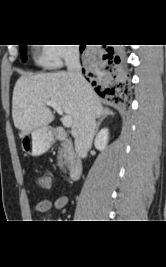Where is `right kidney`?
<instances>
[{
  "label": "right kidney",
  "mask_w": 166,
  "mask_h": 267,
  "mask_svg": "<svg viewBox=\"0 0 166 267\" xmlns=\"http://www.w3.org/2000/svg\"><path fill=\"white\" fill-rule=\"evenodd\" d=\"M109 138V131L107 128L102 129L96 136L94 145L96 149L102 151L106 148Z\"/></svg>",
  "instance_id": "obj_1"
}]
</instances>
